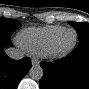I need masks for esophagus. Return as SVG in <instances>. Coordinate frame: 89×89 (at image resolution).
Segmentation results:
<instances>
[{"instance_id": "obj_1", "label": "esophagus", "mask_w": 89, "mask_h": 89, "mask_svg": "<svg viewBox=\"0 0 89 89\" xmlns=\"http://www.w3.org/2000/svg\"><path fill=\"white\" fill-rule=\"evenodd\" d=\"M32 65L33 66H38L39 65V61L35 58H32Z\"/></svg>"}]
</instances>
